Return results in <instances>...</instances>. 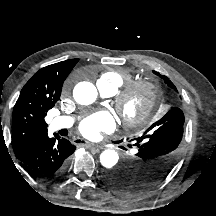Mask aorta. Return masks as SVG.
Wrapping results in <instances>:
<instances>
[{
	"label": "aorta",
	"mask_w": 216,
	"mask_h": 216,
	"mask_svg": "<svg viewBox=\"0 0 216 216\" xmlns=\"http://www.w3.org/2000/svg\"><path fill=\"white\" fill-rule=\"evenodd\" d=\"M97 89L90 82H80L73 90L75 101L81 105H89L95 102L97 98ZM119 155L112 149L104 150L100 155V163L103 167L111 169L118 163Z\"/></svg>",
	"instance_id": "aorta-1"
}]
</instances>
